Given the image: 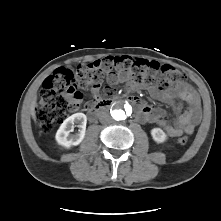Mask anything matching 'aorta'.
I'll list each match as a JSON object with an SVG mask.
<instances>
[{
	"label": "aorta",
	"instance_id": "obj_1",
	"mask_svg": "<svg viewBox=\"0 0 221 221\" xmlns=\"http://www.w3.org/2000/svg\"><path fill=\"white\" fill-rule=\"evenodd\" d=\"M111 116L116 121H122L125 120L128 116V111L124 109L123 105L116 106L111 111Z\"/></svg>",
	"mask_w": 221,
	"mask_h": 221
}]
</instances>
